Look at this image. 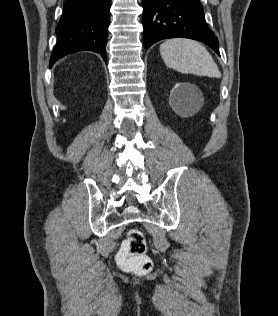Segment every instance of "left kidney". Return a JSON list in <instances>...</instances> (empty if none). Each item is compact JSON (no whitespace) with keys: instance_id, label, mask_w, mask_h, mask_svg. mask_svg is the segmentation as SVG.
<instances>
[{"instance_id":"left-kidney-1","label":"left kidney","mask_w":278,"mask_h":316,"mask_svg":"<svg viewBox=\"0 0 278 316\" xmlns=\"http://www.w3.org/2000/svg\"><path fill=\"white\" fill-rule=\"evenodd\" d=\"M200 90L190 83H177L170 94V102L174 109H185L198 101Z\"/></svg>"}]
</instances>
